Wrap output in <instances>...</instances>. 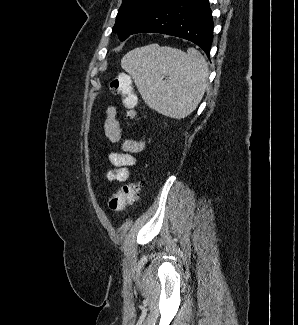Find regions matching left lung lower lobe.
Masks as SVG:
<instances>
[{"instance_id": "0a47b994", "label": "left lung lower lobe", "mask_w": 298, "mask_h": 325, "mask_svg": "<svg viewBox=\"0 0 298 325\" xmlns=\"http://www.w3.org/2000/svg\"><path fill=\"white\" fill-rule=\"evenodd\" d=\"M161 33L187 39L210 57L213 19L208 0H164L131 33Z\"/></svg>"}]
</instances>
